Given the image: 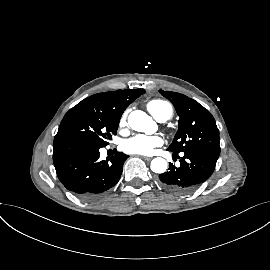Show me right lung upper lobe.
Here are the masks:
<instances>
[{"label":"right lung upper lobe","instance_id":"right-lung-upper-lobe-1","mask_svg":"<svg viewBox=\"0 0 270 270\" xmlns=\"http://www.w3.org/2000/svg\"><path fill=\"white\" fill-rule=\"evenodd\" d=\"M145 93L143 89L117 90L98 93L87 99L95 106L121 117L124 110L139 96Z\"/></svg>","mask_w":270,"mask_h":270}]
</instances>
